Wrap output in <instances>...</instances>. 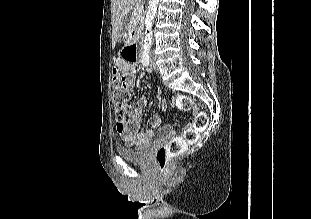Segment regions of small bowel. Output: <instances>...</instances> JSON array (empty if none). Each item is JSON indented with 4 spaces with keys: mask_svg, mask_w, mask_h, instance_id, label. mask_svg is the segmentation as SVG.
<instances>
[{
    "mask_svg": "<svg viewBox=\"0 0 311 219\" xmlns=\"http://www.w3.org/2000/svg\"><path fill=\"white\" fill-rule=\"evenodd\" d=\"M115 65L125 76L126 89L131 91L135 87L137 70L130 62L117 58ZM148 103L146 96L140 97L136 104L129 108L128 118L119 121L116 124V130L119 136L127 145L141 144L148 141L153 135L155 129L161 126L162 118L159 115H153L150 121V127L147 130L139 131L142 111ZM163 106V105H162ZM162 136H168L172 133L169 128L160 130Z\"/></svg>",
    "mask_w": 311,
    "mask_h": 219,
    "instance_id": "small-bowel-1",
    "label": "small bowel"
}]
</instances>
